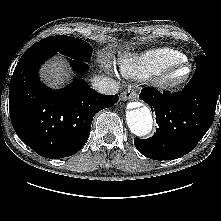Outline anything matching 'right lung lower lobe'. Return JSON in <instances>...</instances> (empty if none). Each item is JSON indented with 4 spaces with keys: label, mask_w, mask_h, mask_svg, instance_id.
I'll list each match as a JSON object with an SVG mask.
<instances>
[{
    "label": "right lung lower lobe",
    "mask_w": 221,
    "mask_h": 221,
    "mask_svg": "<svg viewBox=\"0 0 221 221\" xmlns=\"http://www.w3.org/2000/svg\"><path fill=\"white\" fill-rule=\"evenodd\" d=\"M57 52L35 43L21 57L9 86L10 116L20 139L37 154L51 159L77 153L88 140L94 115L113 106L118 95H102L82 79L60 90L38 78L40 65ZM77 72L84 61L68 58Z\"/></svg>",
    "instance_id": "right-lung-lower-lobe-1"
}]
</instances>
